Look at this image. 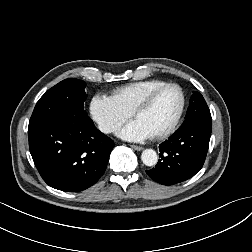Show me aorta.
Here are the masks:
<instances>
[{"label":"aorta","mask_w":252,"mask_h":252,"mask_svg":"<svg viewBox=\"0 0 252 252\" xmlns=\"http://www.w3.org/2000/svg\"><path fill=\"white\" fill-rule=\"evenodd\" d=\"M141 160L146 166H154L158 162V155L153 149H145L141 154Z\"/></svg>","instance_id":"aorta-1"}]
</instances>
